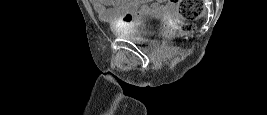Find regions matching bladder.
Here are the masks:
<instances>
[{
    "label": "bladder",
    "instance_id": "1",
    "mask_svg": "<svg viewBox=\"0 0 267 115\" xmlns=\"http://www.w3.org/2000/svg\"><path fill=\"white\" fill-rule=\"evenodd\" d=\"M161 16L155 13L144 14L139 21L130 25L115 26L113 32L120 38L133 40V41H146L151 39L155 30L148 22H158Z\"/></svg>",
    "mask_w": 267,
    "mask_h": 115
}]
</instances>
